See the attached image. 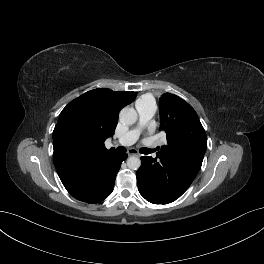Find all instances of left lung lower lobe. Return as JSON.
Listing matches in <instances>:
<instances>
[{"instance_id": "0a47b994", "label": "left lung lower lobe", "mask_w": 264, "mask_h": 264, "mask_svg": "<svg viewBox=\"0 0 264 264\" xmlns=\"http://www.w3.org/2000/svg\"><path fill=\"white\" fill-rule=\"evenodd\" d=\"M156 157H141L137 183L140 194L154 204H167L179 198L199 172L203 158L185 161V154L175 153Z\"/></svg>"}]
</instances>
